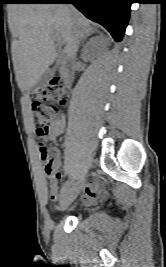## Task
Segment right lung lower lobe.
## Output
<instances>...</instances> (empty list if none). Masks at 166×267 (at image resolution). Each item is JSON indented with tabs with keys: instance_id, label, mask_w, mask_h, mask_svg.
Listing matches in <instances>:
<instances>
[{
	"instance_id": "obj_1",
	"label": "right lung lower lobe",
	"mask_w": 166,
	"mask_h": 267,
	"mask_svg": "<svg viewBox=\"0 0 166 267\" xmlns=\"http://www.w3.org/2000/svg\"><path fill=\"white\" fill-rule=\"evenodd\" d=\"M20 3H72L87 18L103 25L119 42L128 23L132 0H23Z\"/></svg>"
}]
</instances>
